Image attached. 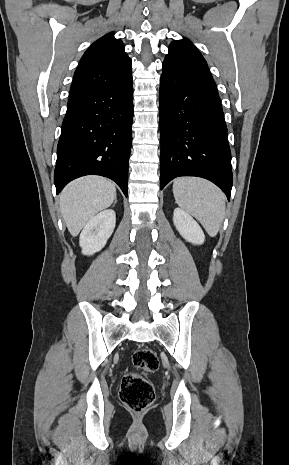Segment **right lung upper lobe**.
<instances>
[{
    "instance_id": "obj_1",
    "label": "right lung upper lobe",
    "mask_w": 289,
    "mask_h": 465,
    "mask_svg": "<svg viewBox=\"0 0 289 465\" xmlns=\"http://www.w3.org/2000/svg\"><path fill=\"white\" fill-rule=\"evenodd\" d=\"M131 60L120 39L108 33L82 56L74 73L69 99L114 87L131 75Z\"/></svg>"
}]
</instances>
